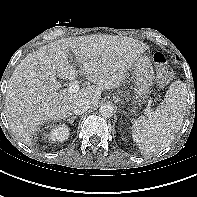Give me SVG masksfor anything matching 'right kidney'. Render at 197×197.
Returning a JSON list of instances; mask_svg holds the SVG:
<instances>
[{"label":"right kidney","instance_id":"1","mask_svg":"<svg viewBox=\"0 0 197 197\" xmlns=\"http://www.w3.org/2000/svg\"><path fill=\"white\" fill-rule=\"evenodd\" d=\"M69 137V128L65 124L54 126L48 134V140L54 142H64Z\"/></svg>","mask_w":197,"mask_h":197}]
</instances>
